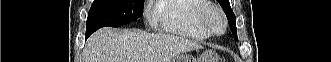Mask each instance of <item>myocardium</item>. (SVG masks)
<instances>
[{"label": "myocardium", "mask_w": 331, "mask_h": 62, "mask_svg": "<svg viewBox=\"0 0 331 62\" xmlns=\"http://www.w3.org/2000/svg\"><path fill=\"white\" fill-rule=\"evenodd\" d=\"M217 14L220 18L221 29L216 30L211 21V15ZM200 25L210 34L214 36L222 35L227 28V19L223 10L215 4L209 3L204 6L198 14Z\"/></svg>", "instance_id": "1"}]
</instances>
